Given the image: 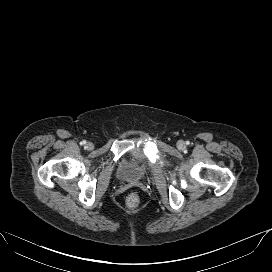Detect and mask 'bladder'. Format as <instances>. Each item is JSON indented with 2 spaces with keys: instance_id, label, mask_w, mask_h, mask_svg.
I'll list each match as a JSON object with an SVG mask.
<instances>
[{
  "instance_id": "31cf9c89",
  "label": "bladder",
  "mask_w": 272,
  "mask_h": 272,
  "mask_svg": "<svg viewBox=\"0 0 272 272\" xmlns=\"http://www.w3.org/2000/svg\"><path fill=\"white\" fill-rule=\"evenodd\" d=\"M147 172L148 166L144 156L132 152L119 161L116 168V177L122 182L136 183L142 181Z\"/></svg>"
}]
</instances>
